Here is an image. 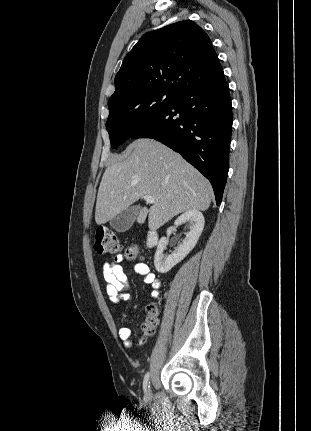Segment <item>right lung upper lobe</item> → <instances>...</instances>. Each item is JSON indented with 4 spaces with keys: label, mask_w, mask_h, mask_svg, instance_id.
Instances as JSON below:
<instances>
[{
    "label": "right lung upper lobe",
    "mask_w": 311,
    "mask_h": 431,
    "mask_svg": "<svg viewBox=\"0 0 311 431\" xmlns=\"http://www.w3.org/2000/svg\"><path fill=\"white\" fill-rule=\"evenodd\" d=\"M222 71L206 32L190 20L180 21L140 38L124 58L110 99L147 90L179 94Z\"/></svg>",
    "instance_id": "cb5924a9"
}]
</instances>
